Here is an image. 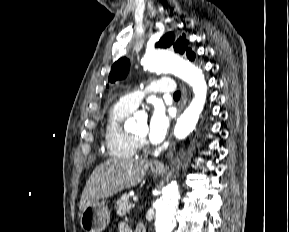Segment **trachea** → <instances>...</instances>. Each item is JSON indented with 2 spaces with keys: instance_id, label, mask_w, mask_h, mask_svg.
Returning <instances> with one entry per match:
<instances>
[{
  "instance_id": "obj_1",
  "label": "trachea",
  "mask_w": 289,
  "mask_h": 232,
  "mask_svg": "<svg viewBox=\"0 0 289 232\" xmlns=\"http://www.w3.org/2000/svg\"><path fill=\"white\" fill-rule=\"evenodd\" d=\"M181 94L179 91H176L173 95L174 98H180Z\"/></svg>"
}]
</instances>
